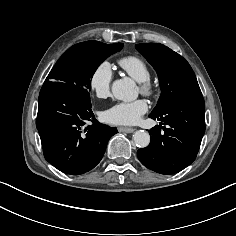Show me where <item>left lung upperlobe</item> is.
<instances>
[{
    "instance_id": "left-lung-upper-lobe-1",
    "label": "left lung upper lobe",
    "mask_w": 236,
    "mask_h": 236,
    "mask_svg": "<svg viewBox=\"0 0 236 236\" xmlns=\"http://www.w3.org/2000/svg\"><path fill=\"white\" fill-rule=\"evenodd\" d=\"M136 49L147 59L158 74L161 95L152 115L163 113L178 97L201 92L189 63L178 53L159 43L137 44Z\"/></svg>"
}]
</instances>
